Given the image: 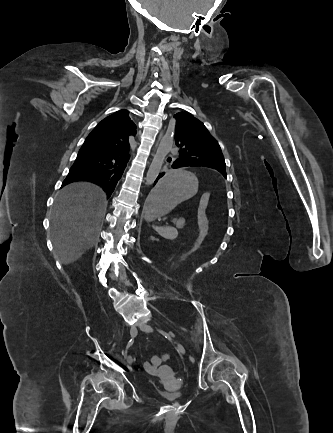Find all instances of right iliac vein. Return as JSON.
I'll return each mask as SVG.
<instances>
[{"mask_svg":"<svg viewBox=\"0 0 333 433\" xmlns=\"http://www.w3.org/2000/svg\"><path fill=\"white\" fill-rule=\"evenodd\" d=\"M130 335H131V337H135V336L137 335V329H136V327L132 326V327L130 328ZM127 362H128L129 364H132V359L129 357V358L127 359Z\"/></svg>","mask_w":333,"mask_h":433,"instance_id":"63e3f726","label":"right iliac vein"}]
</instances>
